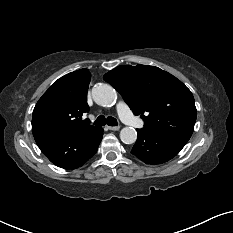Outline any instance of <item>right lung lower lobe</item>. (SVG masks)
I'll use <instances>...</instances> for the list:
<instances>
[{
	"mask_svg": "<svg viewBox=\"0 0 233 233\" xmlns=\"http://www.w3.org/2000/svg\"><path fill=\"white\" fill-rule=\"evenodd\" d=\"M102 137L103 129L96 127L78 136H43L35 138V141L53 164L64 169H75L97 152Z\"/></svg>",
	"mask_w": 233,
	"mask_h": 233,
	"instance_id": "1",
	"label": "right lung lower lobe"
}]
</instances>
